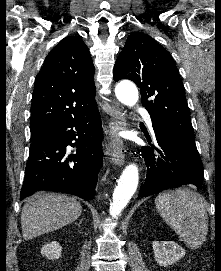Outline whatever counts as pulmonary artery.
I'll return each instance as SVG.
<instances>
[{"label": "pulmonary artery", "mask_w": 221, "mask_h": 271, "mask_svg": "<svg viewBox=\"0 0 221 271\" xmlns=\"http://www.w3.org/2000/svg\"><path fill=\"white\" fill-rule=\"evenodd\" d=\"M136 111H139V108H136Z\"/></svg>", "instance_id": "pulmonary-artery-1"}]
</instances>
